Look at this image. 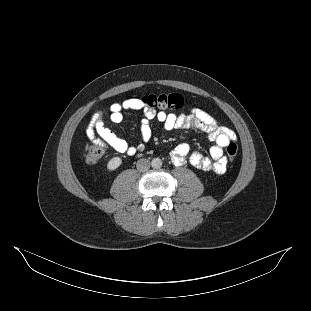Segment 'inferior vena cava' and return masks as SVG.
Masks as SVG:
<instances>
[{"label": "inferior vena cava", "instance_id": "602c4592", "mask_svg": "<svg viewBox=\"0 0 311 311\" xmlns=\"http://www.w3.org/2000/svg\"><path fill=\"white\" fill-rule=\"evenodd\" d=\"M150 166H151V163L147 159H140L137 161V164H136L137 170L140 172L147 171L150 168Z\"/></svg>", "mask_w": 311, "mask_h": 311}]
</instances>
